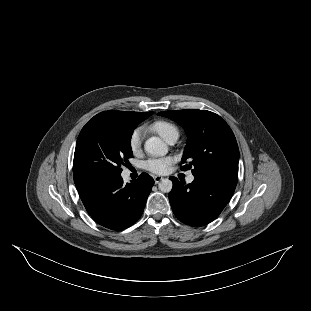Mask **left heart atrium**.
<instances>
[{"instance_id":"1","label":"left heart atrium","mask_w":311,"mask_h":311,"mask_svg":"<svg viewBox=\"0 0 311 311\" xmlns=\"http://www.w3.org/2000/svg\"><path fill=\"white\" fill-rule=\"evenodd\" d=\"M175 158L165 157V158H152L143 163V169L147 172L164 175L170 171L171 165L174 163Z\"/></svg>"}]
</instances>
